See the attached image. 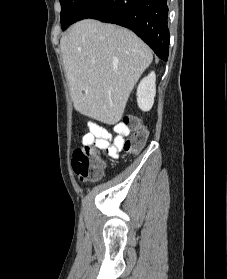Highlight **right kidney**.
Returning a JSON list of instances; mask_svg holds the SVG:
<instances>
[{
    "label": "right kidney",
    "instance_id": "right-kidney-1",
    "mask_svg": "<svg viewBox=\"0 0 227 279\" xmlns=\"http://www.w3.org/2000/svg\"><path fill=\"white\" fill-rule=\"evenodd\" d=\"M156 75L151 72L147 77H144L137 88V103L139 108L144 111H150L156 94Z\"/></svg>",
    "mask_w": 227,
    "mask_h": 279
}]
</instances>
